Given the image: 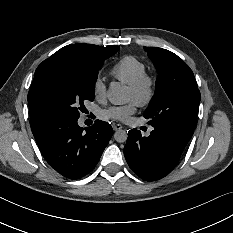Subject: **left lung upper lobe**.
I'll list each match as a JSON object with an SVG mask.
<instances>
[{
  "label": "left lung upper lobe",
  "mask_w": 233,
  "mask_h": 233,
  "mask_svg": "<svg viewBox=\"0 0 233 233\" xmlns=\"http://www.w3.org/2000/svg\"><path fill=\"white\" fill-rule=\"evenodd\" d=\"M157 71L156 93L144 112L154 128L193 131L196 125L200 91L189 66L171 51L144 47Z\"/></svg>",
  "instance_id": "left-lung-upper-lobe-1"
}]
</instances>
